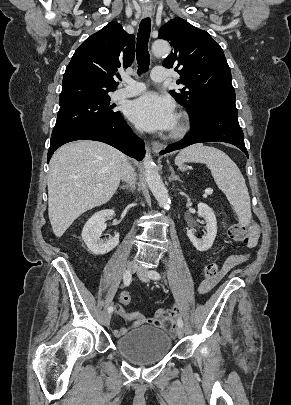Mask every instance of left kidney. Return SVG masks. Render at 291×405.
Returning <instances> with one entry per match:
<instances>
[{
    "mask_svg": "<svg viewBox=\"0 0 291 405\" xmlns=\"http://www.w3.org/2000/svg\"><path fill=\"white\" fill-rule=\"evenodd\" d=\"M198 215L206 222V234L197 238L192 230H187V236L198 251H206L213 245L217 234V221L213 210L205 203H198Z\"/></svg>",
    "mask_w": 291,
    "mask_h": 405,
    "instance_id": "1",
    "label": "left kidney"
}]
</instances>
